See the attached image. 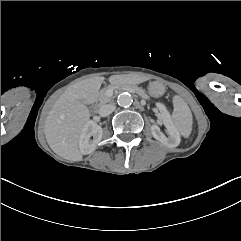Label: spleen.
<instances>
[{
	"instance_id": "1",
	"label": "spleen",
	"mask_w": 241,
	"mask_h": 241,
	"mask_svg": "<svg viewBox=\"0 0 241 241\" xmlns=\"http://www.w3.org/2000/svg\"><path fill=\"white\" fill-rule=\"evenodd\" d=\"M171 104L174 105L172 120L180 134L188 138L192 131V113L187 103L178 94L170 97Z\"/></svg>"
}]
</instances>
